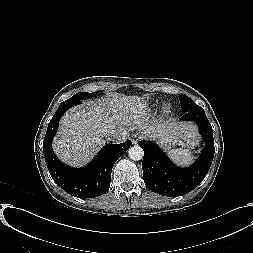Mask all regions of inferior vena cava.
Returning a JSON list of instances; mask_svg holds the SVG:
<instances>
[{
	"label": "inferior vena cava",
	"mask_w": 253,
	"mask_h": 253,
	"mask_svg": "<svg viewBox=\"0 0 253 253\" xmlns=\"http://www.w3.org/2000/svg\"><path fill=\"white\" fill-rule=\"evenodd\" d=\"M129 136L127 131H123V132H116L113 131L109 134L108 140L109 141H125V139Z\"/></svg>",
	"instance_id": "inferior-vena-cava-1"
}]
</instances>
